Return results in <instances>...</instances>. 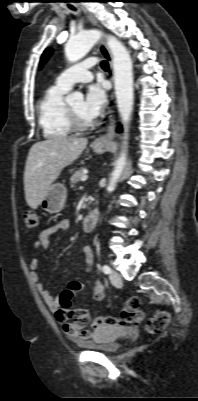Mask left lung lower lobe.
<instances>
[{"label":"left lung lower lobe","instance_id":"0a47b994","mask_svg":"<svg viewBox=\"0 0 198 401\" xmlns=\"http://www.w3.org/2000/svg\"><path fill=\"white\" fill-rule=\"evenodd\" d=\"M121 131H122V129H121V127H119V128H118V132H121Z\"/></svg>","mask_w":198,"mask_h":401}]
</instances>
